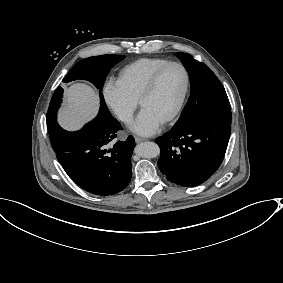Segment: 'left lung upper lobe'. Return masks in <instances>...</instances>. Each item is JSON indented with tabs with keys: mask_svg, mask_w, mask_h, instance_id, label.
<instances>
[{
	"mask_svg": "<svg viewBox=\"0 0 283 283\" xmlns=\"http://www.w3.org/2000/svg\"><path fill=\"white\" fill-rule=\"evenodd\" d=\"M176 56L183 62L191 82V96L176 125L183 126L208 113L229 112L227 94L216 75L190 54L177 52Z\"/></svg>",
	"mask_w": 283,
	"mask_h": 283,
	"instance_id": "1",
	"label": "left lung upper lobe"
}]
</instances>
